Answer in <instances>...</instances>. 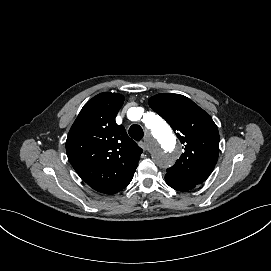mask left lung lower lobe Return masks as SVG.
Listing matches in <instances>:
<instances>
[{
	"mask_svg": "<svg viewBox=\"0 0 271 271\" xmlns=\"http://www.w3.org/2000/svg\"><path fill=\"white\" fill-rule=\"evenodd\" d=\"M165 181L170 187L174 188L175 190L183 191V192L190 191L194 189L195 187H197L198 185H200V184H196L194 182H190L184 179L174 178L167 174L165 175Z\"/></svg>",
	"mask_w": 271,
	"mask_h": 271,
	"instance_id": "1",
	"label": "left lung lower lobe"
}]
</instances>
